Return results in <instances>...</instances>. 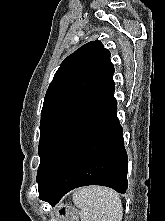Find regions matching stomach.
<instances>
[{
  "label": "stomach",
  "instance_id": "0dacf381",
  "mask_svg": "<svg viewBox=\"0 0 165 221\" xmlns=\"http://www.w3.org/2000/svg\"><path fill=\"white\" fill-rule=\"evenodd\" d=\"M55 217H64L60 218L59 221H77L74 212L68 206H63L60 212H55Z\"/></svg>",
  "mask_w": 165,
  "mask_h": 221
}]
</instances>
